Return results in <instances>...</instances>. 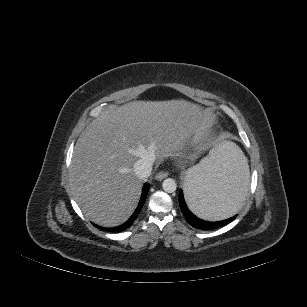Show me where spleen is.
I'll return each instance as SVG.
<instances>
[{
    "mask_svg": "<svg viewBox=\"0 0 307 307\" xmlns=\"http://www.w3.org/2000/svg\"><path fill=\"white\" fill-rule=\"evenodd\" d=\"M248 176L247 160L237 144L217 140L186 176L184 191L190 210L211 221L234 215L248 199Z\"/></svg>",
    "mask_w": 307,
    "mask_h": 307,
    "instance_id": "obj_1",
    "label": "spleen"
}]
</instances>
